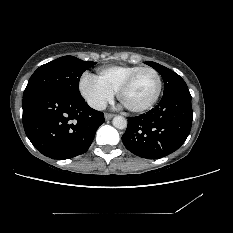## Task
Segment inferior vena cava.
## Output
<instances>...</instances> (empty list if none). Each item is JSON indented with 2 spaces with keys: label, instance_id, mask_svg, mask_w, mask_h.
I'll list each match as a JSON object with an SVG mask.
<instances>
[{
  "label": "inferior vena cava",
  "instance_id": "obj_1",
  "mask_svg": "<svg viewBox=\"0 0 233 233\" xmlns=\"http://www.w3.org/2000/svg\"><path fill=\"white\" fill-rule=\"evenodd\" d=\"M90 106L96 110H104L106 108L105 101H92L90 102Z\"/></svg>",
  "mask_w": 233,
  "mask_h": 233
}]
</instances>
